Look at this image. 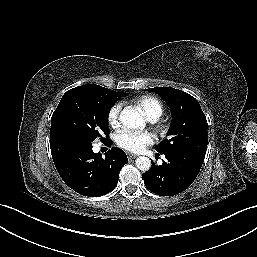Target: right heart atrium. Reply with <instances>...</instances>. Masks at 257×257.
<instances>
[{
  "label": "right heart atrium",
  "instance_id": "1",
  "mask_svg": "<svg viewBox=\"0 0 257 257\" xmlns=\"http://www.w3.org/2000/svg\"><path fill=\"white\" fill-rule=\"evenodd\" d=\"M121 104H114L108 111L107 120L110 126L116 128L120 125Z\"/></svg>",
  "mask_w": 257,
  "mask_h": 257
}]
</instances>
